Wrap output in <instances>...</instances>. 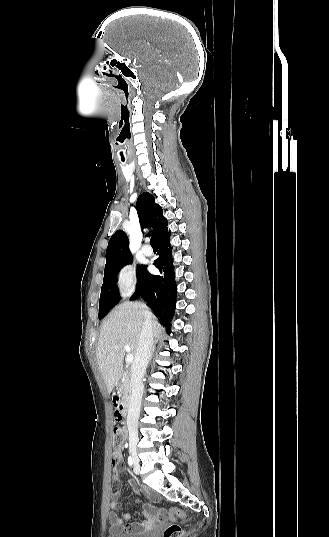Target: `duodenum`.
Wrapping results in <instances>:
<instances>
[{
  "label": "duodenum",
  "instance_id": "obj_1",
  "mask_svg": "<svg viewBox=\"0 0 329 537\" xmlns=\"http://www.w3.org/2000/svg\"><path fill=\"white\" fill-rule=\"evenodd\" d=\"M113 404L115 407L120 409V413L123 415V417L127 416L129 407V402L127 399L114 397Z\"/></svg>",
  "mask_w": 329,
  "mask_h": 537
}]
</instances>
